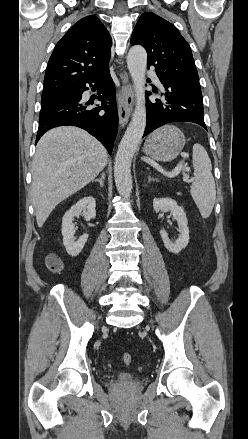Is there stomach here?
<instances>
[{
  "instance_id": "stomach-1",
  "label": "stomach",
  "mask_w": 248,
  "mask_h": 439,
  "mask_svg": "<svg viewBox=\"0 0 248 439\" xmlns=\"http://www.w3.org/2000/svg\"><path fill=\"white\" fill-rule=\"evenodd\" d=\"M185 143V136L180 129L173 125H165L145 140L143 151L156 161L168 162L179 155Z\"/></svg>"
}]
</instances>
